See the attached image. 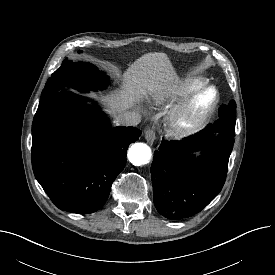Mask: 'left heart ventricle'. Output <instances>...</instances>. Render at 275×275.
Segmentation results:
<instances>
[{
	"label": "left heart ventricle",
	"mask_w": 275,
	"mask_h": 275,
	"mask_svg": "<svg viewBox=\"0 0 275 275\" xmlns=\"http://www.w3.org/2000/svg\"><path fill=\"white\" fill-rule=\"evenodd\" d=\"M213 99V93L207 92L196 98L189 112L188 120L197 118L208 108Z\"/></svg>",
	"instance_id": "1"
}]
</instances>
